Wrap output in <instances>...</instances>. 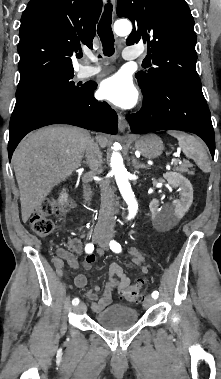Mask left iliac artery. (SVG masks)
Here are the masks:
<instances>
[{"label":"left iliac artery","instance_id":"44dca946","mask_svg":"<svg viewBox=\"0 0 221 379\" xmlns=\"http://www.w3.org/2000/svg\"><path fill=\"white\" fill-rule=\"evenodd\" d=\"M110 248L115 253H120L122 251L121 245L115 240L110 241ZM158 295H159L158 291H153L151 294L152 298L154 299H157Z\"/></svg>","mask_w":221,"mask_h":379}]
</instances>
